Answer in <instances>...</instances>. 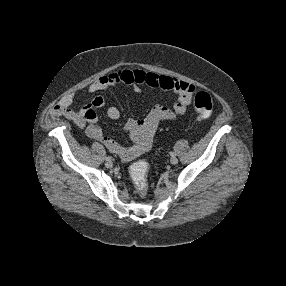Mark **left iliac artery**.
<instances>
[{
    "label": "left iliac artery",
    "mask_w": 286,
    "mask_h": 286,
    "mask_svg": "<svg viewBox=\"0 0 286 286\" xmlns=\"http://www.w3.org/2000/svg\"><path fill=\"white\" fill-rule=\"evenodd\" d=\"M171 156H176V154L174 152H170Z\"/></svg>",
    "instance_id": "left-iliac-artery-1"
}]
</instances>
